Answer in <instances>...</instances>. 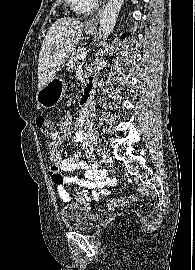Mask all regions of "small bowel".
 Returning a JSON list of instances; mask_svg holds the SVG:
<instances>
[{"label":"small bowel","mask_w":195,"mask_h":270,"mask_svg":"<svg viewBox=\"0 0 195 270\" xmlns=\"http://www.w3.org/2000/svg\"><path fill=\"white\" fill-rule=\"evenodd\" d=\"M72 116L67 112L62 123L51 135L49 142L51 167L49 174L56 185L59 197L64 202H69L71 196L66 189L67 185H75L81 189L77 191V202H86L90 199L98 202L100 195H108L106 187L116 184V178L110 177L107 170L101 169L94 158V135L91 130L92 112L88 109L80 110L74 133V141L81 146L87 161L76 153L68 158H61L60 144L71 135ZM81 171V176H63L61 172ZM88 190H92L93 196L89 197Z\"/></svg>","instance_id":"small-bowel-1"}]
</instances>
